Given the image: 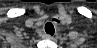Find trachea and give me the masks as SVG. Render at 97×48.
Segmentation results:
<instances>
[{"label":"trachea","instance_id":"trachea-1","mask_svg":"<svg viewBox=\"0 0 97 48\" xmlns=\"http://www.w3.org/2000/svg\"><path fill=\"white\" fill-rule=\"evenodd\" d=\"M45 31H46V33L49 34V35H54L55 29H54L53 24L50 23V22L47 23V24L45 25Z\"/></svg>","mask_w":97,"mask_h":48}]
</instances>
